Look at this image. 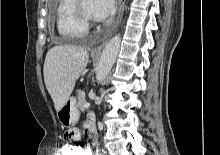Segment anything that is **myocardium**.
<instances>
[{
    "label": "myocardium",
    "instance_id": "1",
    "mask_svg": "<svg viewBox=\"0 0 220 155\" xmlns=\"http://www.w3.org/2000/svg\"><path fill=\"white\" fill-rule=\"evenodd\" d=\"M81 1L82 0H75L74 13L78 21L88 27L94 23V19L85 12Z\"/></svg>",
    "mask_w": 220,
    "mask_h": 155
}]
</instances>
